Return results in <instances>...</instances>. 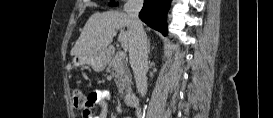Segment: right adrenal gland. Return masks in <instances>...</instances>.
Wrapping results in <instances>:
<instances>
[{"label":"right adrenal gland","mask_w":273,"mask_h":118,"mask_svg":"<svg viewBox=\"0 0 273 118\" xmlns=\"http://www.w3.org/2000/svg\"><path fill=\"white\" fill-rule=\"evenodd\" d=\"M148 53H150V40H148Z\"/></svg>","instance_id":"right-adrenal-gland-1"}]
</instances>
